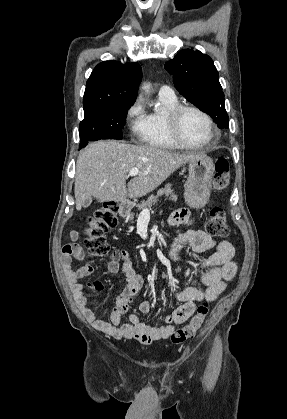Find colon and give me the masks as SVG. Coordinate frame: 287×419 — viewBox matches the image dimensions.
Returning a JSON list of instances; mask_svg holds the SVG:
<instances>
[{
  "label": "colon",
  "mask_w": 287,
  "mask_h": 419,
  "mask_svg": "<svg viewBox=\"0 0 287 419\" xmlns=\"http://www.w3.org/2000/svg\"><path fill=\"white\" fill-rule=\"evenodd\" d=\"M230 183V167L227 159L219 158L215 164L213 187L217 191H224ZM118 206L115 202H106L99 207L88 219L86 227V245L93 256H103L109 252V245L105 235L116 227ZM206 231L217 237H226L229 227L226 224L225 214L220 208H214L210 212L206 224ZM209 312V305L203 302L197 308L190 322L181 329L176 330L170 336V341L180 344L192 338L202 326Z\"/></svg>",
  "instance_id": "1"
}]
</instances>
